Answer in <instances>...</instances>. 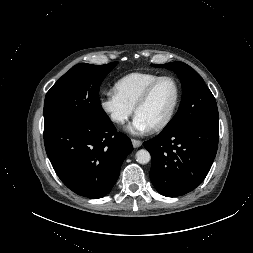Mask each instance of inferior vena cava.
Returning <instances> with one entry per match:
<instances>
[{
  "mask_svg": "<svg viewBox=\"0 0 253 253\" xmlns=\"http://www.w3.org/2000/svg\"><path fill=\"white\" fill-rule=\"evenodd\" d=\"M115 120L122 121V120H123V118H122V117H120V116H119V117L117 116V117H115Z\"/></svg>",
  "mask_w": 253,
  "mask_h": 253,
  "instance_id": "602c4592",
  "label": "inferior vena cava"
}]
</instances>
